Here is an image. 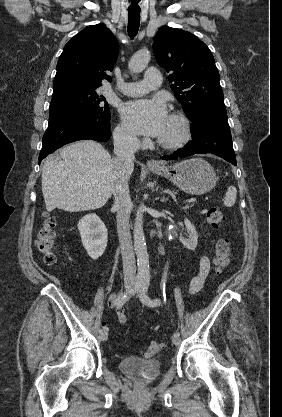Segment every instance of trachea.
<instances>
[{
    "label": "trachea",
    "mask_w": 282,
    "mask_h": 417,
    "mask_svg": "<svg viewBox=\"0 0 282 417\" xmlns=\"http://www.w3.org/2000/svg\"><path fill=\"white\" fill-rule=\"evenodd\" d=\"M140 25V10H128V35L134 38Z\"/></svg>",
    "instance_id": "obj_1"
}]
</instances>
